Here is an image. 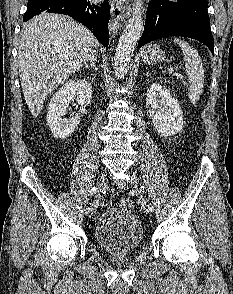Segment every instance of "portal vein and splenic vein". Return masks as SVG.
<instances>
[{
	"label": "portal vein and splenic vein",
	"instance_id": "portal-vein-and-splenic-vein-1",
	"mask_svg": "<svg viewBox=\"0 0 233 294\" xmlns=\"http://www.w3.org/2000/svg\"><path fill=\"white\" fill-rule=\"evenodd\" d=\"M169 75H173V76H176L178 79L182 80L183 79V76L178 74V73H174V69L173 68H170L169 69Z\"/></svg>",
	"mask_w": 233,
	"mask_h": 294
}]
</instances>
